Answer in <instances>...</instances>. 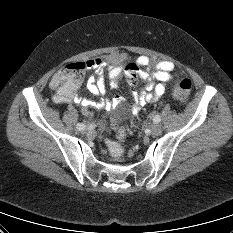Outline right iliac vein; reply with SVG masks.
Segmentation results:
<instances>
[{
	"mask_svg": "<svg viewBox=\"0 0 233 233\" xmlns=\"http://www.w3.org/2000/svg\"><path fill=\"white\" fill-rule=\"evenodd\" d=\"M82 133L84 135H89L90 134V128L89 127H84L83 130H82Z\"/></svg>",
	"mask_w": 233,
	"mask_h": 233,
	"instance_id": "1",
	"label": "right iliac vein"
}]
</instances>
